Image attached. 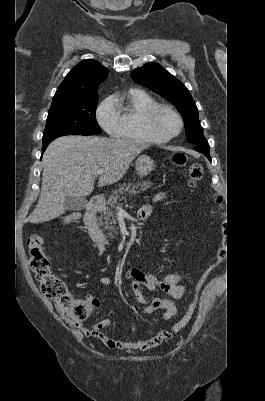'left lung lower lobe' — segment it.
<instances>
[{"mask_svg": "<svg viewBox=\"0 0 265 401\" xmlns=\"http://www.w3.org/2000/svg\"><path fill=\"white\" fill-rule=\"evenodd\" d=\"M210 146L207 141L200 143L197 147H195V150L203 153L208 159H210Z\"/></svg>", "mask_w": 265, "mask_h": 401, "instance_id": "left-lung-lower-lobe-1", "label": "left lung lower lobe"}]
</instances>
